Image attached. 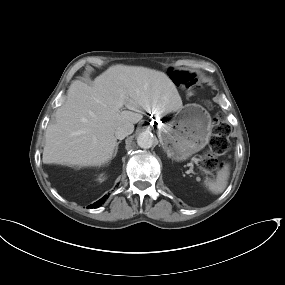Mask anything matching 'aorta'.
Listing matches in <instances>:
<instances>
[{
	"instance_id": "aorta-1",
	"label": "aorta",
	"mask_w": 285,
	"mask_h": 285,
	"mask_svg": "<svg viewBox=\"0 0 285 285\" xmlns=\"http://www.w3.org/2000/svg\"><path fill=\"white\" fill-rule=\"evenodd\" d=\"M155 138L152 133L142 132L137 137V144L143 149L151 148L154 144Z\"/></svg>"
}]
</instances>
